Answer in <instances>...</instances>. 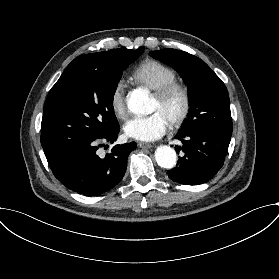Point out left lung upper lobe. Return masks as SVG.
<instances>
[{
    "instance_id": "1",
    "label": "left lung upper lobe",
    "mask_w": 279,
    "mask_h": 279,
    "mask_svg": "<svg viewBox=\"0 0 279 279\" xmlns=\"http://www.w3.org/2000/svg\"><path fill=\"white\" fill-rule=\"evenodd\" d=\"M150 55L172 66L188 86L190 113L179 132L201 127L232 132L228 91L204 61L176 49L151 51Z\"/></svg>"
}]
</instances>
